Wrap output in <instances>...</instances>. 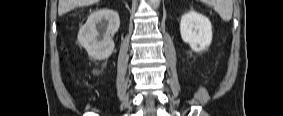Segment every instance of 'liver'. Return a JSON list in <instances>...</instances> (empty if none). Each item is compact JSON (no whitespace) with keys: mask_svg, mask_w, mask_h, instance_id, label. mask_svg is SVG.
Listing matches in <instances>:
<instances>
[{"mask_svg":"<svg viewBox=\"0 0 283 116\" xmlns=\"http://www.w3.org/2000/svg\"><path fill=\"white\" fill-rule=\"evenodd\" d=\"M96 2L98 0H59L58 14L62 16L76 7L91 5Z\"/></svg>","mask_w":283,"mask_h":116,"instance_id":"liver-1","label":"liver"}]
</instances>
